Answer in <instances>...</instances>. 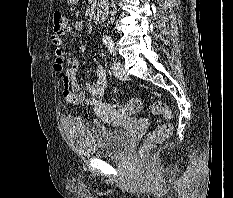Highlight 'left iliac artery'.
<instances>
[{"instance_id": "1", "label": "left iliac artery", "mask_w": 233, "mask_h": 198, "mask_svg": "<svg viewBox=\"0 0 233 198\" xmlns=\"http://www.w3.org/2000/svg\"><path fill=\"white\" fill-rule=\"evenodd\" d=\"M106 46L108 47L110 53L115 56V47L112 40L105 41Z\"/></svg>"}]
</instances>
